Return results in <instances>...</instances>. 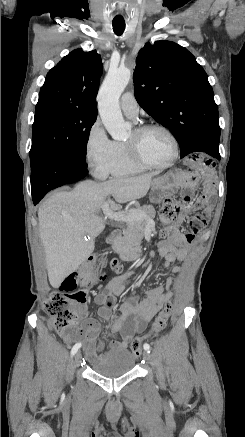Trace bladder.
Instances as JSON below:
<instances>
[{"mask_svg": "<svg viewBox=\"0 0 245 437\" xmlns=\"http://www.w3.org/2000/svg\"><path fill=\"white\" fill-rule=\"evenodd\" d=\"M135 357L126 349L115 350L97 359L91 364V369L106 377H115L133 369Z\"/></svg>", "mask_w": 245, "mask_h": 437, "instance_id": "obj_1", "label": "bladder"}]
</instances>
